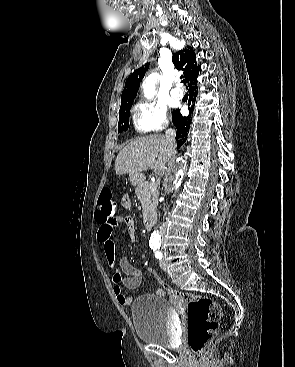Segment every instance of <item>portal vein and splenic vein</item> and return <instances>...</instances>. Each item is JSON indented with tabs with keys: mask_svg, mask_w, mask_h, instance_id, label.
Returning <instances> with one entry per match:
<instances>
[{
	"mask_svg": "<svg viewBox=\"0 0 295 367\" xmlns=\"http://www.w3.org/2000/svg\"><path fill=\"white\" fill-rule=\"evenodd\" d=\"M155 188L157 187V184H155V186H154Z\"/></svg>",
	"mask_w": 295,
	"mask_h": 367,
	"instance_id": "1",
	"label": "portal vein and splenic vein"
}]
</instances>
